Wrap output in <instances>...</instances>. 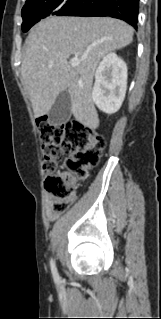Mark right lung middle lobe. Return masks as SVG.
<instances>
[{"label": "right lung middle lobe", "instance_id": "1", "mask_svg": "<svg viewBox=\"0 0 161 319\" xmlns=\"http://www.w3.org/2000/svg\"><path fill=\"white\" fill-rule=\"evenodd\" d=\"M86 0H27L22 9V30L28 31L41 19L50 16H66L77 10Z\"/></svg>", "mask_w": 161, "mask_h": 319}]
</instances>
